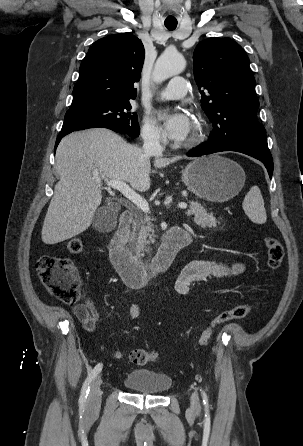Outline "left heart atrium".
Wrapping results in <instances>:
<instances>
[{
    "label": "left heart atrium",
    "instance_id": "39dd6f15",
    "mask_svg": "<svg viewBox=\"0 0 303 446\" xmlns=\"http://www.w3.org/2000/svg\"><path fill=\"white\" fill-rule=\"evenodd\" d=\"M165 135L171 140L183 141L187 138L192 121L182 111H173L161 115Z\"/></svg>",
    "mask_w": 303,
    "mask_h": 446
}]
</instances>
